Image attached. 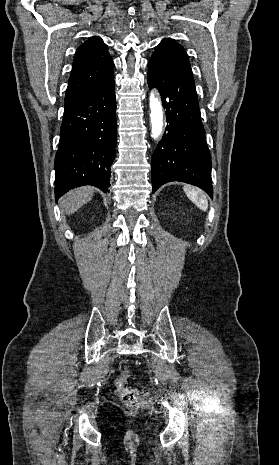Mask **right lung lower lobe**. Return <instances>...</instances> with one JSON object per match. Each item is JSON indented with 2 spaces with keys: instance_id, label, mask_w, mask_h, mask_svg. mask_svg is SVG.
I'll list each match as a JSON object with an SVG mask.
<instances>
[{
  "instance_id": "obj_1",
  "label": "right lung lower lobe",
  "mask_w": 279,
  "mask_h": 465,
  "mask_svg": "<svg viewBox=\"0 0 279 465\" xmlns=\"http://www.w3.org/2000/svg\"><path fill=\"white\" fill-rule=\"evenodd\" d=\"M114 76L65 108L55 157V197L82 185L110 186L116 147Z\"/></svg>"
}]
</instances>
